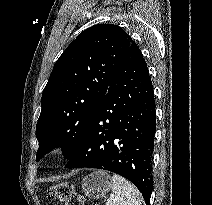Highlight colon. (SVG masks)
<instances>
[{"instance_id":"obj_1","label":"colon","mask_w":212,"mask_h":205,"mask_svg":"<svg viewBox=\"0 0 212 205\" xmlns=\"http://www.w3.org/2000/svg\"><path fill=\"white\" fill-rule=\"evenodd\" d=\"M48 196L63 205H84L81 195L74 190L70 183H59L52 186L48 191Z\"/></svg>"}]
</instances>
